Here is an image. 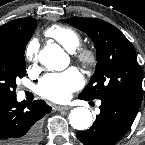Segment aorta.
<instances>
[{"instance_id":"obj_1","label":"aorta","mask_w":145,"mask_h":145,"mask_svg":"<svg viewBox=\"0 0 145 145\" xmlns=\"http://www.w3.org/2000/svg\"><path fill=\"white\" fill-rule=\"evenodd\" d=\"M39 62L51 70L62 71L69 65V57L63 52V49L57 44H49L38 54ZM70 125L77 130L88 129L93 117L89 109L85 107H76L69 114Z\"/></svg>"}]
</instances>
